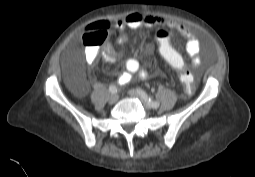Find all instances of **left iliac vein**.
Returning <instances> with one entry per match:
<instances>
[{
	"instance_id": "obj_1",
	"label": "left iliac vein",
	"mask_w": 255,
	"mask_h": 177,
	"mask_svg": "<svg viewBox=\"0 0 255 177\" xmlns=\"http://www.w3.org/2000/svg\"><path fill=\"white\" fill-rule=\"evenodd\" d=\"M128 93H129V95L132 96V97L139 98V99L144 103V105H145L147 108H149V109L153 108V107L148 103V101L140 94L139 91H137V90H129Z\"/></svg>"
}]
</instances>
